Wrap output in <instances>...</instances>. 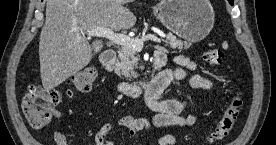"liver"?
Instances as JSON below:
<instances>
[{
  "instance_id": "obj_1",
  "label": "liver",
  "mask_w": 276,
  "mask_h": 145,
  "mask_svg": "<svg viewBox=\"0 0 276 145\" xmlns=\"http://www.w3.org/2000/svg\"><path fill=\"white\" fill-rule=\"evenodd\" d=\"M132 0H47L39 41L42 85L51 90L86 67L103 42L91 44L85 33L97 27L129 29L135 15L124 5Z\"/></svg>"
}]
</instances>
